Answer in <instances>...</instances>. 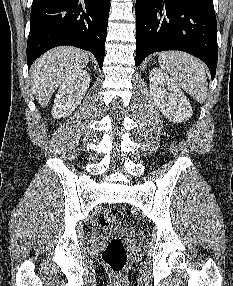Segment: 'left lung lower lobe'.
Here are the masks:
<instances>
[{"label": "left lung lower lobe", "mask_w": 233, "mask_h": 286, "mask_svg": "<svg viewBox=\"0 0 233 286\" xmlns=\"http://www.w3.org/2000/svg\"><path fill=\"white\" fill-rule=\"evenodd\" d=\"M136 66L151 53L181 50L216 74L217 23L213 0H136Z\"/></svg>", "instance_id": "left-lung-lower-lobe-1"}]
</instances>
